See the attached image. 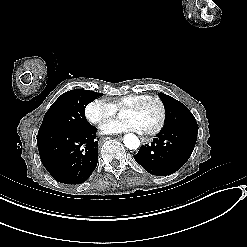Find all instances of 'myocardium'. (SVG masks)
<instances>
[{
    "label": "myocardium",
    "instance_id": "obj_1",
    "mask_svg": "<svg viewBox=\"0 0 247 247\" xmlns=\"http://www.w3.org/2000/svg\"><path fill=\"white\" fill-rule=\"evenodd\" d=\"M147 100L157 101L161 108L159 124L157 125L155 129L146 132L148 135H157L163 129L165 122H166V118H167V106H166L165 101L160 96L143 95L135 99L130 105L127 106V108L130 110H138L141 107V105Z\"/></svg>",
    "mask_w": 247,
    "mask_h": 247
}]
</instances>
